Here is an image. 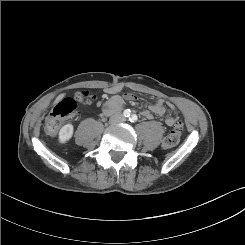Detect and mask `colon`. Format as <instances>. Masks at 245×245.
<instances>
[{
  "instance_id": "5ec220e1",
  "label": "colon",
  "mask_w": 245,
  "mask_h": 245,
  "mask_svg": "<svg viewBox=\"0 0 245 245\" xmlns=\"http://www.w3.org/2000/svg\"><path fill=\"white\" fill-rule=\"evenodd\" d=\"M93 99L94 97L88 91L84 90L76 91L72 96L63 99L46 117L44 124L45 132L49 135H55L58 132L63 119L74 116L77 114L78 106L80 104H88ZM181 128V122L177 121L174 128L163 139V148L171 149L179 143Z\"/></svg>"
}]
</instances>
